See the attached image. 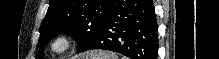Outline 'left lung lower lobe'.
Returning a JSON list of instances; mask_svg holds the SVG:
<instances>
[{"label":"left lung lower lobe","instance_id":"1","mask_svg":"<svg viewBox=\"0 0 219 59\" xmlns=\"http://www.w3.org/2000/svg\"><path fill=\"white\" fill-rule=\"evenodd\" d=\"M158 25L151 0H113L96 37L77 53L103 49L130 59H157Z\"/></svg>","mask_w":219,"mask_h":59}]
</instances>
